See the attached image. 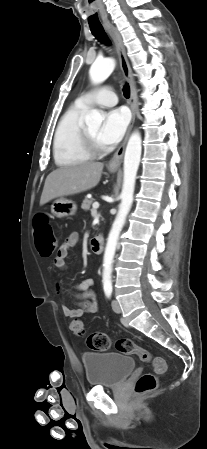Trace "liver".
I'll list each match as a JSON object with an SVG mask.
<instances>
[{
    "label": "liver",
    "mask_w": 207,
    "mask_h": 449,
    "mask_svg": "<svg viewBox=\"0 0 207 449\" xmlns=\"http://www.w3.org/2000/svg\"><path fill=\"white\" fill-rule=\"evenodd\" d=\"M103 166L100 162H87L52 171L45 180L40 205L57 197L78 194L95 187L100 181Z\"/></svg>",
    "instance_id": "obj_1"
}]
</instances>
